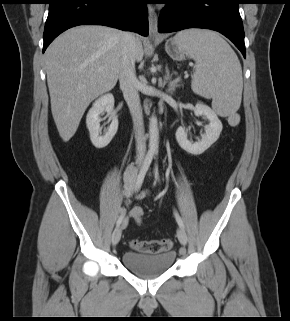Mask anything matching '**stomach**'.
<instances>
[{
    "instance_id": "1",
    "label": "stomach",
    "mask_w": 290,
    "mask_h": 321,
    "mask_svg": "<svg viewBox=\"0 0 290 321\" xmlns=\"http://www.w3.org/2000/svg\"><path fill=\"white\" fill-rule=\"evenodd\" d=\"M167 54L176 61H183L188 57L187 51L182 48L174 38L169 39L165 44Z\"/></svg>"
}]
</instances>
